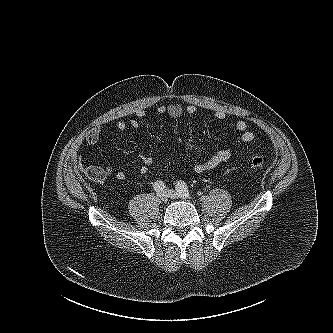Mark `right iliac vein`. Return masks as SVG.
I'll list each match as a JSON object with an SVG mask.
<instances>
[{"label":"right iliac vein","mask_w":333,"mask_h":333,"mask_svg":"<svg viewBox=\"0 0 333 333\" xmlns=\"http://www.w3.org/2000/svg\"><path fill=\"white\" fill-rule=\"evenodd\" d=\"M157 196L163 202H166L168 200V195L165 191L158 192Z\"/></svg>","instance_id":"1"}]
</instances>
